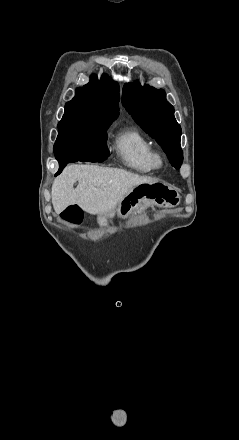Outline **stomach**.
Here are the masks:
<instances>
[{
  "label": "stomach",
  "instance_id": "obj_1",
  "mask_svg": "<svg viewBox=\"0 0 239 440\" xmlns=\"http://www.w3.org/2000/svg\"><path fill=\"white\" fill-rule=\"evenodd\" d=\"M159 204V206H177L180 202V196L176 190H172L162 182L156 184H141L131 192H128L118 204L116 210L118 216L121 218H128L130 214H141L149 204ZM115 212H108V214H99L97 224L101 228H107L110 218H113Z\"/></svg>",
  "mask_w": 239,
  "mask_h": 440
}]
</instances>
